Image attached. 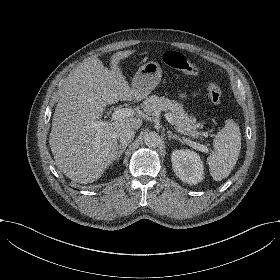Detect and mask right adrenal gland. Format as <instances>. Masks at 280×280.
I'll return each instance as SVG.
<instances>
[{
    "mask_svg": "<svg viewBox=\"0 0 280 280\" xmlns=\"http://www.w3.org/2000/svg\"><path fill=\"white\" fill-rule=\"evenodd\" d=\"M127 145H119L115 153L114 159L119 160L120 156L124 153Z\"/></svg>",
    "mask_w": 280,
    "mask_h": 280,
    "instance_id": "obj_1",
    "label": "right adrenal gland"
}]
</instances>
